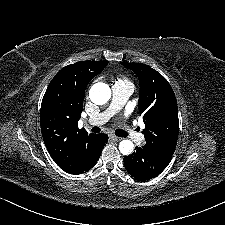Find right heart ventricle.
<instances>
[{
	"label": "right heart ventricle",
	"mask_w": 225,
	"mask_h": 225,
	"mask_svg": "<svg viewBox=\"0 0 225 225\" xmlns=\"http://www.w3.org/2000/svg\"><path fill=\"white\" fill-rule=\"evenodd\" d=\"M115 82H126V83H131L127 78L125 77H121L119 79H117Z\"/></svg>",
	"instance_id": "e07e8e85"
}]
</instances>
